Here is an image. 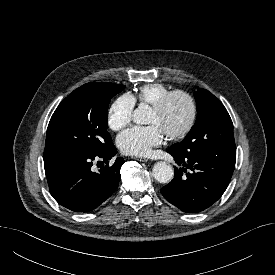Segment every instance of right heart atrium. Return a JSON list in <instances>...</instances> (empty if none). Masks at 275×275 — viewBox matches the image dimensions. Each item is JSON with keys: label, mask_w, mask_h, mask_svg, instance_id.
<instances>
[{"label": "right heart atrium", "mask_w": 275, "mask_h": 275, "mask_svg": "<svg viewBox=\"0 0 275 275\" xmlns=\"http://www.w3.org/2000/svg\"><path fill=\"white\" fill-rule=\"evenodd\" d=\"M135 101L129 94L116 98L108 110L107 122L110 129L119 131L126 127L133 118Z\"/></svg>", "instance_id": "right-heart-atrium-1"}]
</instances>
